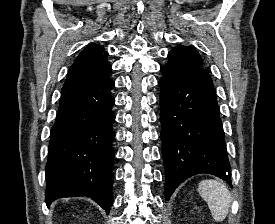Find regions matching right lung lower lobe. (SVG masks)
I'll list each match as a JSON object with an SVG mask.
<instances>
[{
  "instance_id": "98d812e1",
  "label": "right lung lower lobe",
  "mask_w": 275,
  "mask_h": 224,
  "mask_svg": "<svg viewBox=\"0 0 275 224\" xmlns=\"http://www.w3.org/2000/svg\"><path fill=\"white\" fill-rule=\"evenodd\" d=\"M110 78L65 91L51 128L45 201L89 196L108 214L113 203L115 103Z\"/></svg>"
}]
</instances>
